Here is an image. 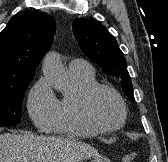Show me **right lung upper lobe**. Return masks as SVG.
I'll list each match as a JSON object with an SVG mask.
<instances>
[{
  "label": "right lung upper lobe",
  "mask_w": 168,
  "mask_h": 162,
  "mask_svg": "<svg viewBox=\"0 0 168 162\" xmlns=\"http://www.w3.org/2000/svg\"><path fill=\"white\" fill-rule=\"evenodd\" d=\"M54 33L55 20L44 12L14 15L0 33V84L34 77Z\"/></svg>",
  "instance_id": "obj_1"
}]
</instances>
